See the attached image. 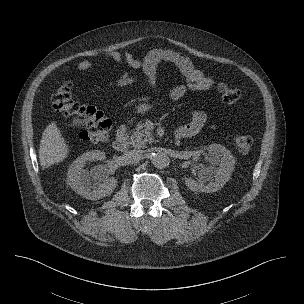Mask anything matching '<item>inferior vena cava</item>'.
<instances>
[{"label":"inferior vena cava","instance_id":"602c4592","mask_svg":"<svg viewBox=\"0 0 304 304\" xmlns=\"http://www.w3.org/2000/svg\"><path fill=\"white\" fill-rule=\"evenodd\" d=\"M125 156L130 160H139L143 156V150H130L125 153Z\"/></svg>","mask_w":304,"mask_h":304}]
</instances>
